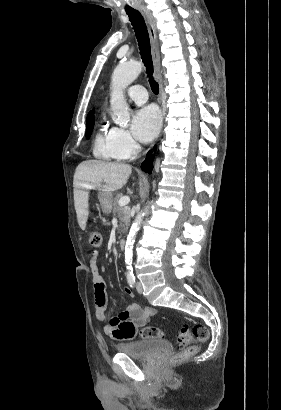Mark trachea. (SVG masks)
Instances as JSON below:
<instances>
[{
    "instance_id": "1",
    "label": "trachea",
    "mask_w": 281,
    "mask_h": 410,
    "mask_svg": "<svg viewBox=\"0 0 281 410\" xmlns=\"http://www.w3.org/2000/svg\"><path fill=\"white\" fill-rule=\"evenodd\" d=\"M127 15L136 33L140 55L146 67V73L149 78L151 90L155 95H158L159 85L153 78V63L151 57L150 40L145 21L139 11L128 12Z\"/></svg>"
}]
</instances>
